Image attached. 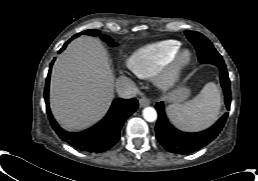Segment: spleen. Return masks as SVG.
<instances>
[{
    "label": "spleen",
    "mask_w": 258,
    "mask_h": 181,
    "mask_svg": "<svg viewBox=\"0 0 258 181\" xmlns=\"http://www.w3.org/2000/svg\"><path fill=\"white\" fill-rule=\"evenodd\" d=\"M220 108V90L215 83L209 82L192 100L184 104H171L166 111L176 127L184 131H199L215 122Z\"/></svg>",
    "instance_id": "3e777b00"
}]
</instances>
